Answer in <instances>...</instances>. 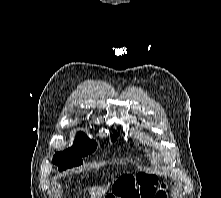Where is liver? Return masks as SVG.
<instances>
[{"mask_svg":"<svg viewBox=\"0 0 221 198\" xmlns=\"http://www.w3.org/2000/svg\"><path fill=\"white\" fill-rule=\"evenodd\" d=\"M88 191L91 198H98L105 191V189L103 187H92Z\"/></svg>","mask_w":221,"mask_h":198,"instance_id":"liver-1","label":"liver"}]
</instances>
